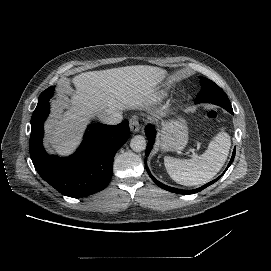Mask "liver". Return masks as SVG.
<instances>
[{"label":"liver","instance_id":"liver-1","mask_svg":"<svg viewBox=\"0 0 271 271\" xmlns=\"http://www.w3.org/2000/svg\"><path fill=\"white\" fill-rule=\"evenodd\" d=\"M165 75L162 68L135 65L84 72L67 79L60 88L64 100L54 105L52 119L46 123L45 145L69 155L80 143L88 119L108 110L147 108Z\"/></svg>","mask_w":271,"mask_h":271}]
</instances>
